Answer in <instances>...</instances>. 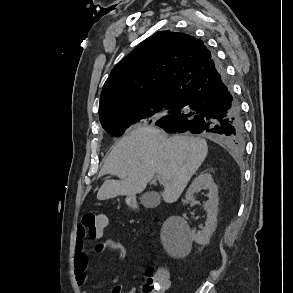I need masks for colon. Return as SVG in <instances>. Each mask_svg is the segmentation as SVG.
I'll list each match as a JSON object with an SVG mask.
<instances>
[{"label": "colon", "mask_w": 293, "mask_h": 293, "mask_svg": "<svg viewBox=\"0 0 293 293\" xmlns=\"http://www.w3.org/2000/svg\"><path fill=\"white\" fill-rule=\"evenodd\" d=\"M106 224V215L89 212L82 217L80 227L85 237L95 240L102 237ZM168 284L169 273L165 268H159L156 271L147 269L142 291L143 293H165L168 289Z\"/></svg>", "instance_id": "1"}]
</instances>
